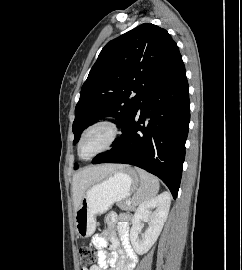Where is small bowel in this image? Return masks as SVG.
Wrapping results in <instances>:
<instances>
[{"label": "small bowel", "instance_id": "small-bowel-1", "mask_svg": "<svg viewBox=\"0 0 242 270\" xmlns=\"http://www.w3.org/2000/svg\"><path fill=\"white\" fill-rule=\"evenodd\" d=\"M129 221L130 216L126 213L111 212L106 215L105 233L92 237V244L99 251L98 265L83 270H134L138 257L130 245Z\"/></svg>", "mask_w": 242, "mask_h": 270}]
</instances>
